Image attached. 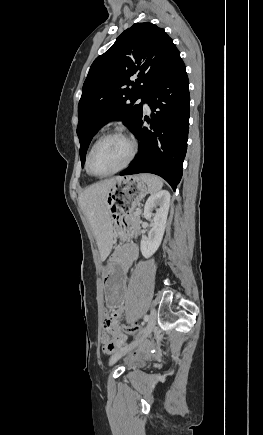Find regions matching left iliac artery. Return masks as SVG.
Segmentation results:
<instances>
[{
    "mask_svg": "<svg viewBox=\"0 0 263 435\" xmlns=\"http://www.w3.org/2000/svg\"><path fill=\"white\" fill-rule=\"evenodd\" d=\"M149 320V316L148 315H145L144 316V322H147Z\"/></svg>",
    "mask_w": 263,
    "mask_h": 435,
    "instance_id": "1",
    "label": "left iliac artery"
}]
</instances>
